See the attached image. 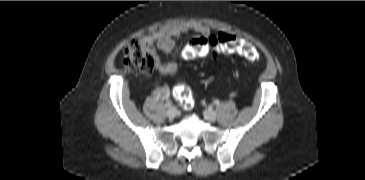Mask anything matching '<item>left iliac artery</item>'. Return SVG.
<instances>
[{"instance_id":"44dca946","label":"left iliac artery","mask_w":365,"mask_h":180,"mask_svg":"<svg viewBox=\"0 0 365 180\" xmlns=\"http://www.w3.org/2000/svg\"><path fill=\"white\" fill-rule=\"evenodd\" d=\"M214 103H215L216 105H219V104H220L219 100H215V101H214Z\"/></svg>"}]
</instances>
